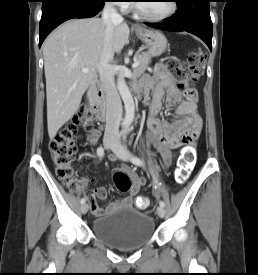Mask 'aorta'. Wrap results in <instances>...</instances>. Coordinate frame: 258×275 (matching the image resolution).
I'll return each mask as SVG.
<instances>
[{"label":"aorta","mask_w":258,"mask_h":275,"mask_svg":"<svg viewBox=\"0 0 258 275\" xmlns=\"http://www.w3.org/2000/svg\"><path fill=\"white\" fill-rule=\"evenodd\" d=\"M117 88L125 106V119L123 121V128L124 130H128L134 118L135 106L123 75H119L117 79Z\"/></svg>","instance_id":"aorta-1"}]
</instances>
